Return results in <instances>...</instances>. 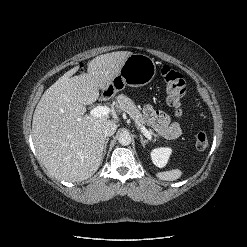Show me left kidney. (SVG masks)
<instances>
[{
    "label": "left kidney",
    "instance_id": "1",
    "mask_svg": "<svg viewBox=\"0 0 247 247\" xmlns=\"http://www.w3.org/2000/svg\"><path fill=\"white\" fill-rule=\"evenodd\" d=\"M172 150L170 148H156L151 152V159L155 166L164 167L169 159Z\"/></svg>",
    "mask_w": 247,
    "mask_h": 247
}]
</instances>
